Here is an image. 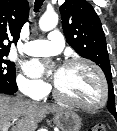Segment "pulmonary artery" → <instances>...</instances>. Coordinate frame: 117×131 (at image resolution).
Returning a JSON list of instances; mask_svg holds the SVG:
<instances>
[{
	"instance_id": "e3ab8cb5",
	"label": "pulmonary artery",
	"mask_w": 117,
	"mask_h": 131,
	"mask_svg": "<svg viewBox=\"0 0 117 131\" xmlns=\"http://www.w3.org/2000/svg\"><path fill=\"white\" fill-rule=\"evenodd\" d=\"M64 47V38L61 32L53 30L47 39L32 40L24 45V51L32 56H49L60 52Z\"/></svg>"
}]
</instances>
